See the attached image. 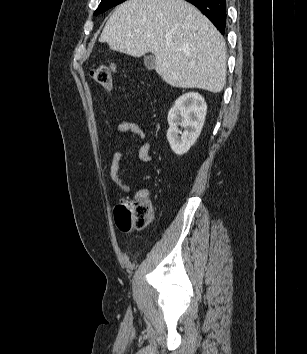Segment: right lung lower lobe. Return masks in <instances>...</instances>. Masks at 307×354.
I'll return each mask as SVG.
<instances>
[{"label":"right lung lower lobe","mask_w":307,"mask_h":354,"mask_svg":"<svg viewBox=\"0 0 307 354\" xmlns=\"http://www.w3.org/2000/svg\"><path fill=\"white\" fill-rule=\"evenodd\" d=\"M196 6L224 34L227 21L226 0H186Z\"/></svg>","instance_id":"98d812e1"}]
</instances>
